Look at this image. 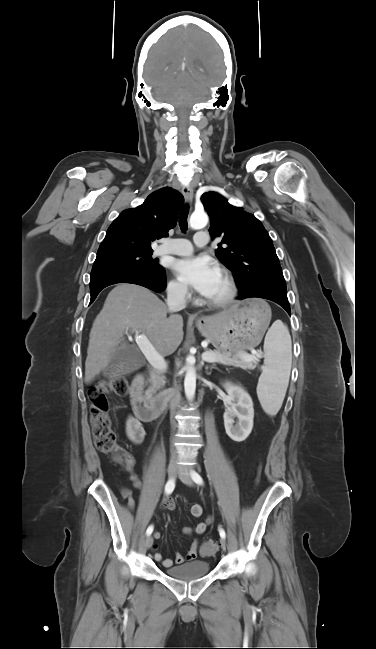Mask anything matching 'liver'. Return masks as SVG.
I'll use <instances>...</instances> for the list:
<instances>
[{
	"label": "liver",
	"mask_w": 376,
	"mask_h": 649,
	"mask_svg": "<svg viewBox=\"0 0 376 649\" xmlns=\"http://www.w3.org/2000/svg\"><path fill=\"white\" fill-rule=\"evenodd\" d=\"M170 310L150 290L118 284L108 294L93 322L85 361V383L100 374L118 347L126 348L128 331L145 334L161 356L171 355L183 339V318Z\"/></svg>",
	"instance_id": "1"
}]
</instances>
